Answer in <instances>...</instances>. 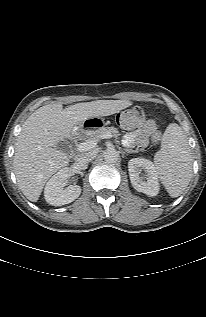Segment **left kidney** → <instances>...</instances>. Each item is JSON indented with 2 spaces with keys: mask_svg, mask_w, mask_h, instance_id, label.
Masks as SVG:
<instances>
[{
  "mask_svg": "<svg viewBox=\"0 0 206 317\" xmlns=\"http://www.w3.org/2000/svg\"><path fill=\"white\" fill-rule=\"evenodd\" d=\"M129 176L132 186L138 191L149 196L159 193V182L154 164L144 158H133L128 162ZM144 170L145 175L141 176Z\"/></svg>",
  "mask_w": 206,
  "mask_h": 317,
  "instance_id": "1",
  "label": "left kidney"
}]
</instances>
